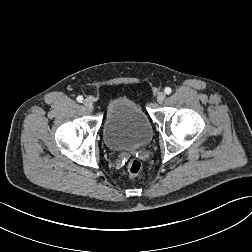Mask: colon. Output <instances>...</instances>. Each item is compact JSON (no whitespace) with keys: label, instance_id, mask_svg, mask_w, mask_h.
Listing matches in <instances>:
<instances>
[{"label":"colon","instance_id":"1","mask_svg":"<svg viewBox=\"0 0 252 252\" xmlns=\"http://www.w3.org/2000/svg\"><path fill=\"white\" fill-rule=\"evenodd\" d=\"M127 173L130 177L138 175L142 169V163L137 159H131L127 163Z\"/></svg>","mask_w":252,"mask_h":252}]
</instances>
